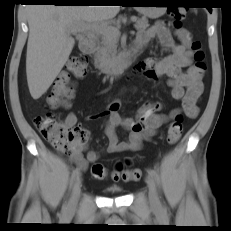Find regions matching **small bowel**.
I'll use <instances>...</instances> for the list:
<instances>
[{
    "label": "small bowel",
    "instance_id": "small-bowel-1",
    "mask_svg": "<svg viewBox=\"0 0 231 231\" xmlns=\"http://www.w3.org/2000/svg\"><path fill=\"white\" fill-rule=\"evenodd\" d=\"M174 35L179 42L175 41ZM152 39H157L161 47L169 54L159 60L146 59L140 62L135 69L151 80L167 77L172 98L180 101L182 108L175 109L169 114H163L160 113L162 109L160 102H146L141 106L136 117H123L119 112L121 101L113 100L102 114L108 117L106 125L108 153L139 150L145 139L155 134L164 123L182 111L189 118H196L198 115L197 103L203 92L202 73L192 65L189 32L180 28L173 34L162 21H158L137 36L135 48H144ZM63 123L73 127L77 123V116L74 113H69ZM117 128H122L128 133L125 140L118 139ZM86 149L87 136L83 141L72 145L67 150L57 148L60 152L68 151L70 161L81 170H86L89 163L96 162L100 157L98 152L89 151L85 158L83 153Z\"/></svg>",
    "mask_w": 231,
    "mask_h": 231
}]
</instances>
